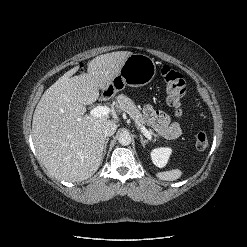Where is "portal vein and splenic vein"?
Here are the masks:
<instances>
[{
	"label": "portal vein and splenic vein",
	"instance_id": "1",
	"mask_svg": "<svg viewBox=\"0 0 247 247\" xmlns=\"http://www.w3.org/2000/svg\"><path fill=\"white\" fill-rule=\"evenodd\" d=\"M111 113L114 114L115 110L107 106H97L90 111V115L93 117L107 116ZM141 132L148 140L152 139L151 133L145 128V126H141Z\"/></svg>",
	"mask_w": 247,
	"mask_h": 247
}]
</instances>
